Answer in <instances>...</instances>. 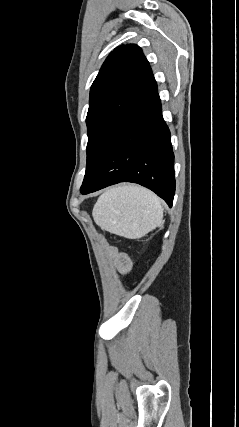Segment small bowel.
<instances>
[{
    "mask_svg": "<svg viewBox=\"0 0 239 427\" xmlns=\"http://www.w3.org/2000/svg\"><path fill=\"white\" fill-rule=\"evenodd\" d=\"M110 254L114 258V261L122 274H126L130 271L132 268V261L126 253L118 251L115 247H111Z\"/></svg>",
    "mask_w": 239,
    "mask_h": 427,
    "instance_id": "small-bowel-1",
    "label": "small bowel"
}]
</instances>
